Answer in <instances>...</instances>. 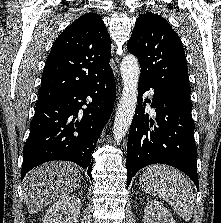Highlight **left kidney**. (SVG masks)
<instances>
[{
	"mask_svg": "<svg viewBox=\"0 0 221 223\" xmlns=\"http://www.w3.org/2000/svg\"><path fill=\"white\" fill-rule=\"evenodd\" d=\"M145 223H176L170 212L158 201H149L144 209Z\"/></svg>",
	"mask_w": 221,
	"mask_h": 223,
	"instance_id": "left-kidney-1",
	"label": "left kidney"
}]
</instances>
